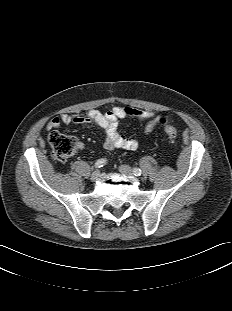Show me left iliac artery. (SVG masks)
<instances>
[{
	"mask_svg": "<svg viewBox=\"0 0 232 311\" xmlns=\"http://www.w3.org/2000/svg\"><path fill=\"white\" fill-rule=\"evenodd\" d=\"M141 173H142L141 169H139V168H134V169H133V174H134L135 176H140Z\"/></svg>",
	"mask_w": 232,
	"mask_h": 311,
	"instance_id": "44dca946",
	"label": "left iliac artery"
}]
</instances>
